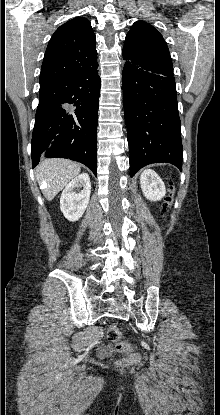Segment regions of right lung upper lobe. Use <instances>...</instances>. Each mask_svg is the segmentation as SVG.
Listing matches in <instances>:
<instances>
[{"instance_id": "cb5924a9", "label": "right lung upper lobe", "mask_w": 220, "mask_h": 415, "mask_svg": "<svg viewBox=\"0 0 220 415\" xmlns=\"http://www.w3.org/2000/svg\"><path fill=\"white\" fill-rule=\"evenodd\" d=\"M96 37L90 22L76 17L52 35L41 67L40 88L98 65Z\"/></svg>"}]
</instances>
